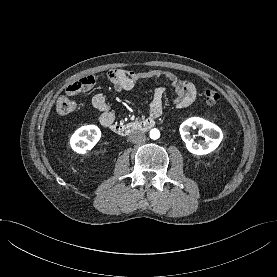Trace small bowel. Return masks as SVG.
I'll return each instance as SVG.
<instances>
[{"label": "small bowel", "instance_id": "c3829d8e", "mask_svg": "<svg viewBox=\"0 0 277 277\" xmlns=\"http://www.w3.org/2000/svg\"><path fill=\"white\" fill-rule=\"evenodd\" d=\"M108 80L113 84L116 92L129 91L142 80L162 79L170 84L173 89L175 98L174 104L178 109L189 107L196 99L197 90L195 85L187 80L181 79L175 73L169 70L152 69L144 71H126L122 69L110 70L107 73ZM85 82L86 88L82 92L74 93L72 87L77 84L74 82L67 88V94L72 96L82 95L96 83V77L87 76L81 79ZM165 88L159 86L155 89L150 105V114L152 117H159L163 113V97ZM93 107L100 112L99 122L106 126L109 122H114L115 114L111 110L106 97L102 93H97L92 97Z\"/></svg>", "mask_w": 277, "mask_h": 277}]
</instances>
